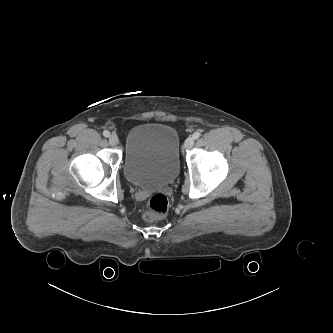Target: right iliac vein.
<instances>
[{"label": "right iliac vein", "instance_id": "63e3f726", "mask_svg": "<svg viewBox=\"0 0 333 333\" xmlns=\"http://www.w3.org/2000/svg\"><path fill=\"white\" fill-rule=\"evenodd\" d=\"M109 143L110 145H117L119 143V139L116 135H110L109 137Z\"/></svg>", "mask_w": 333, "mask_h": 333}]
</instances>
